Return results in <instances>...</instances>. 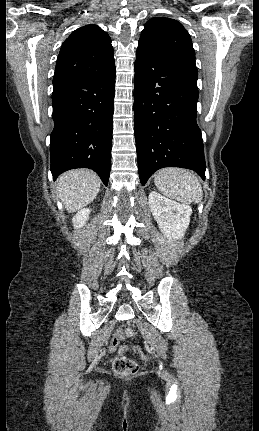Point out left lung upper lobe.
Returning a JSON list of instances; mask_svg holds the SVG:
<instances>
[{
  "label": "left lung upper lobe",
  "mask_w": 259,
  "mask_h": 431,
  "mask_svg": "<svg viewBox=\"0 0 259 431\" xmlns=\"http://www.w3.org/2000/svg\"><path fill=\"white\" fill-rule=\"evenodd\" d=\"M138 45L197 72L191 37L183 25L174 19L166 17L150 19L141 32Z\"/></svg>",
  "instance_id": "5c2ea615"
}]
</instances>
